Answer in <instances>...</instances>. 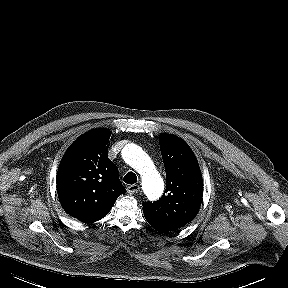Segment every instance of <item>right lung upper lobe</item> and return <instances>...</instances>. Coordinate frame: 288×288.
I'll return each mask as SVG.
<instances>
[{
    "mask_svg": "<svg viewBox=\"0 0 288 288\" xmlns=\"http://www.w3.org/2000/svg\"><path fill=\"white\" fill-rule=\"evenodd\" d=\"M108 129H94L76 139L65 152L57 172V191L63 209L91 223L105 217L126 190L117 166L108 158Z\"/></svg>",
    "mask_w": 288,
    "mask_h": 288,
    "instance_id": "1",
    "label": "right lung upper lobe"
}]
</instances>
